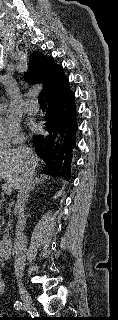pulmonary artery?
<instances>
[{
    "mask_svg": "<svg viewBox=\"0 0 118 320\" xmlns=\"http://www.w3.org/2000/svg\"><path fill=\"white\" fill-rule=\"evenodd\" d=\"M38 109V104L33 100H26L23 103V110L27 113H35Z\"/></svg>",
    "mask_w": 118,
    "mask_h": 320,
    "instance_id": "obj_1",
    "label": "pulmonary artery"
}]
</instances>
